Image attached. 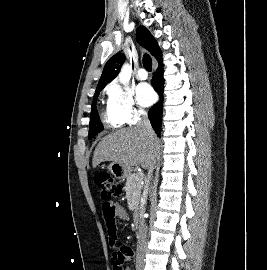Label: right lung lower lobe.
I'll list each match as a JSON object with an SVG mask.
<instances>
[{
	"instance_id": "1",
	"label": "right lung lower lobe",
	"mask_w": 267,
	"mask_h": 270,
	"mask_svg": "<svg viewBox=\"0 0 267 270\" xmlns=\"http://www.w3.org/2000/svg\"><path fill=\"white\" fill-rule=\"evenodd\" d=\"M159 61V67L152 79V86L155 89V91L159 94L160 100L153 105L149 112L148 117L151 122V125L156 132V134L160 137L161 132V121H162V110H163V85H164V79H163V64L161 57L157 59Z\"/></svg>"
}]
</instances>
